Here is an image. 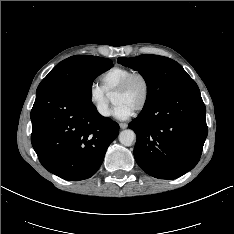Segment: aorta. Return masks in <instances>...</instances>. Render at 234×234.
<instances>
[{"instance_id": "762f6f07", "label": "aorta", "mask_w": 234, "mask_h": 234, "mask_svg": "<svg viewBox=\"0 0 234 234\" xmlns=\"http://www.w3.org/2000/svg\"><path fill=\"white\" fill-rule=\"evenodd\" d=\"M136 138L133 130H123L119 134V141L124 146H131Z\"/></svg>"}]
</instances>
